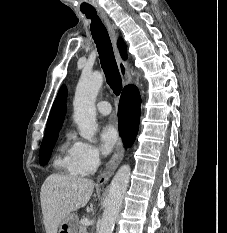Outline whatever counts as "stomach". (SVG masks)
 <instances>
[{
  "label": "stomach",
  "mask_w": 227,
  "mask_h": 233,
  "mask_svg": "<svg viewBox=\"0 0 227 233\" xmlns=\"http://www.w3.org/2000/svg\"><path fill=\"white\" fill-rule=\"evenodd\" d=\"M78 217L76 214H69L60 224L59 233H77Z\"/></svg>",
  "instance_id": "0dacf381"
}]
</instances>
